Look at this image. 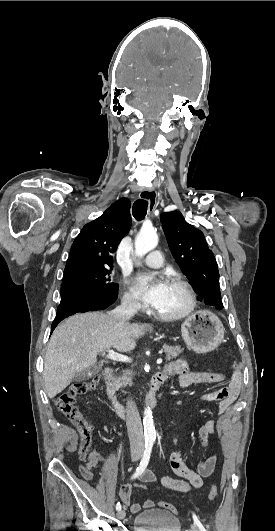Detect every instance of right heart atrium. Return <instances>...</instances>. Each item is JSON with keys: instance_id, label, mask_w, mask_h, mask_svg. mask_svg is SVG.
I'll use <instances>...</instances> for the list:
<instances>
[{"instance_id": "d8ad5b80", "label": "right heart atrium", "mask_w": 275, "mask_h": 531, "mask_svg": "<svg viewBox=\"0 0 275 531\" xmlns=\"http://www.w3.org/2000/svg\"><path fill=\"white\" fill-rule=\"evenodd\" d=\"M123 305L131 312L136 313L142 308V304L136 293L130 289L126 290L123 295Z\"/></svg>"}]
</instances>
